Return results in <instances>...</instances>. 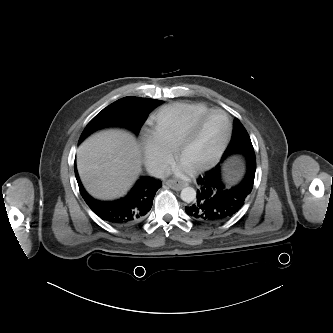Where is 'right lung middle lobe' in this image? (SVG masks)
Wrapping results in <instances>:
<instances>
[{
    "mask_svg": "<svg viewBox=\"0 0 333 333\" xmlns=\"http://www.w3.org/2000/svg\"><path fill=\"white\" fill-rule=\"evenodd\" d=\"M162 103L163 101L148 98H122L104 108L88 123L79 143L92 132L107 126H123L138 135L149 113Z\"/></svg>",
    "mask_w": 333,
    "mask_h": 333,
    "instance_id": "obj_1",
    "label": "right lung middle lobe"
}]
</instances>
